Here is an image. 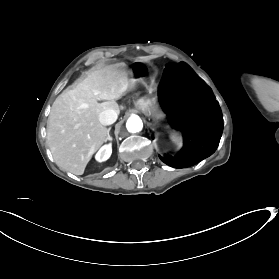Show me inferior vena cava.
<instances>
[{"label":"inferior vena cava","mask_w":279,"mask_h":279,"mask_svg":"<svg viewBox=\"0 0 279 279\" xmlns=\"http://www.w3.org/2000/svg\"><path fill=\"white\" fill-rule=\"evenodd\" d=\"M99 117V121L102 125H110L116 121L117 113L112 108H108L107 110L100 113Z\"/></svg>","instance_id":"602c4592"}]
</instances>
